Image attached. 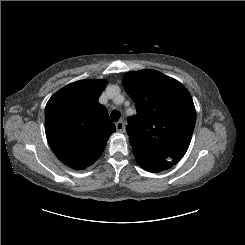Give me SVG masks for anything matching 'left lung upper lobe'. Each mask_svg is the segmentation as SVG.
<instances>
[{
	"label": "left lung upper lobe",
	"mask_w": 245,
	"mask_h": 245,
	"mask_svg": "<svg viewBox=\"0 0 245 245\" xmlns=\"http://www.w3.org/2000/svg\"><path fill=\"white\" fill-rule=\"evenodd\" d=\"M123 85L136 104L127 133L137 163L153 173L171 168L185 155L196 122L189 91L151 69L128 72Z\"/></svg>",
	"instance_id": "5c2ea615"
}]
</instances>
